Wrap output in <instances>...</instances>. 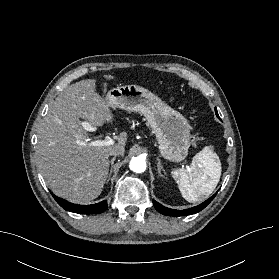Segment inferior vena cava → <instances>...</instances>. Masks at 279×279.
Listing matches in <instances>:
<instances>
[{
	"mask_svg": "<svg viewBox=\"0 0 279 279\" xmlns=\"http://www.w3.org/2000/svg\"><path fill=\"white\" fill-rule=\"evenodd\" d=\"M123 154H124V149L123 148L112 149L109 152V155H112V156H119V155H123Z\"/></svg>",
	"mask_w": 279,
	"mask_h": 279,
	"instance_id": "inferior-vena-cava-1",
	"label": "inferior vena cava"
}]
</instances>
